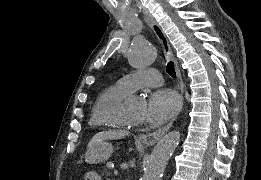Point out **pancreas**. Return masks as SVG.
I'll return each instance as SVG.
<instances>
[{
    "label": "pancreas",
    "mask_w": 261,
    "mask_h": 180,
    "mask_svg": "<svg viewBox=\"0 0 261 180\" xmlns=\"http://www.w3.org/2000/svg\"><path fill=\"white\" fill-rule=\"evenodd\" d=\"M113 163L112 159H107L106 162L103 163V170H106V175H109V167Z\"/></svg>",
    "instance_id": "pancreas-1"
}]
</instances>
